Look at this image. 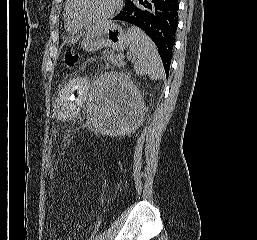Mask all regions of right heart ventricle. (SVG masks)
I'll return each mask as SVG.
<instances>
[{
	"label": "right heart ventricle",
	"mask_w": 257,
	"mask_h": 240,
	"mask_svg": "<svg viewBox=\"0 0 257 240\" xmlns=\"http://www.w3.org/2000/svg\"><path fill=\"white\" fill-rule=\"evenodd\" d=\"M64 25H65V29L69 32V33H77L81 27L77 26L76 24H74L69 15H68V3L66 2L65 4V8H64Z\"/></svg>",
	"instance_id": "right-heart-ventricle-1"
}]
</instances>
